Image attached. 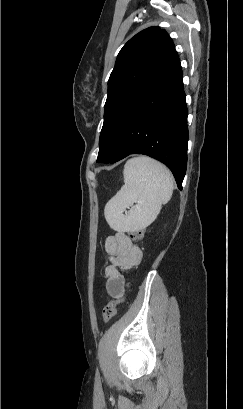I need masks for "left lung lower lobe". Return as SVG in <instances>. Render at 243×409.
<instances>
[{"label": "left lung lower lobe", "instance_id": "obj_1", "mask_svg": "<svg viewBox=\"0 0 243 409\" xmlns=\"http://www.w3.org/2000/svg\"><path fill=\"white\" fill-rule=\"evenodd\" d=\"M188 110L177 52L155 73L120 126L110 163L144 154L164 163L180 190L187 165Z\"/></svg>", "mask_w": 243, "mask_h": 409}]
</instances>
